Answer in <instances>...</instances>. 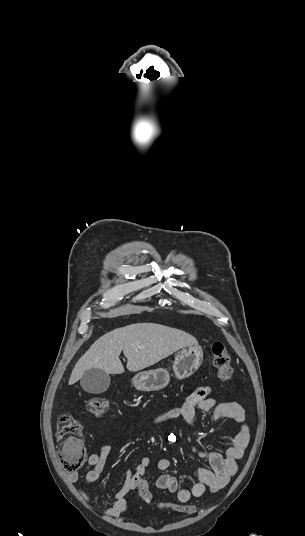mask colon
Listing matches in <instances>:
<instances>
[{
    "label": "colon",
    "mask_w": 305,
    "mask_h": 536,
    "mask_svg": "<svg viewBox=\"0 0 305 536\" xmlns=\"http://www.w3.org/2000/svg\"><path fill=\"white\" fill-rule=\"evenodd\" d=\"M213 365L217 371L219 381L228 383L232 378V367L230 365V356L225 343L214 341L211 349ZM87 411L95 416H100L108 410V400L104 397H92L86 401ZM82 427L80 423L70 414H61L57 421L56 440L58 444L56 451L58 461L63 462L64 471H79L88 447L83 443L81 435ZM141 501L145 505H153L152 513H190L194 506L190 502H155V494L150 492L145 482L140 481L137 484ZM195 515V512H192Z\"/></svg>",
    "instance_id": "1"
}]
</instances>
